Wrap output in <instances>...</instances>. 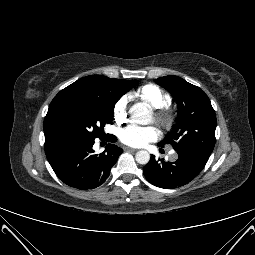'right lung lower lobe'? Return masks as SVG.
Listing matches in <instances>:
<instances>
[{
  "mask_svg": "<svg viewBox=\"0 0 255 255\" xmlns=\"http://www.w3.org/2000/svg\"><path fill=\"white\" fill-rule=\"evenodd\" d=\"M107 141L115 142L114 135ZM94 139L59 138L45 143L47 159L61 181L81 190L94 189L105 182L123 150L108 144L101 154L92 149Z\"/></svg>",
  "mask_w": 255,
  "mask_h": 255,
  "instance_id": "obj_1",
  "label": "right lung lower lobe"
}]
</instances>
